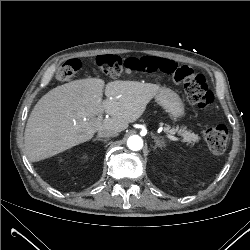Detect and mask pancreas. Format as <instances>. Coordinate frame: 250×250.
<instances>
[{
	"mask_svg": "<svg viewBox=\"0 0 250 250\" xmlns=\"http://www.w3.org/2000/svg\"><path fill=\"white\" fill-rule=\"evenodd\" d=\"M166 130L169 131L170 133H175L178 132L181 136L184 137V140L187 142H198L199 137L197 134L191 133L190 131H185L183 129L178 130V128H170L169 126L166 127Z\"/></svg>",
	"mask_w": 250,
	"mask_h": 250,
	"instance_id": "obj_1",
	"label": "pancreas"
}]
</instances>
